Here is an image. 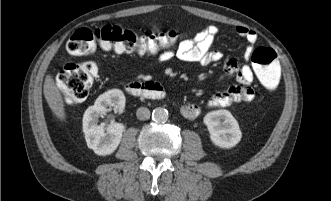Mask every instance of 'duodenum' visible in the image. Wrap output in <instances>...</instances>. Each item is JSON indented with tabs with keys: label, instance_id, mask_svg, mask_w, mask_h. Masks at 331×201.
Masks as SVG:
<instances>
[{
	"label": "duodenum",
	"instance_id": "obj_1",
	"mask_svg": "<svg viewBox=\"0 0 331 201\" xmlns=\"http://www.w3.org/2000/svg\"><path fill=\"white\" fill-rule=\"evenodd\" d=\"M125 91L135 97H143L152 100H163L166 93L159 83L131 81L125 85Z\"/></svg>",
	"mask_w": 331,
	"mask_h": 201
}]
</instances>
